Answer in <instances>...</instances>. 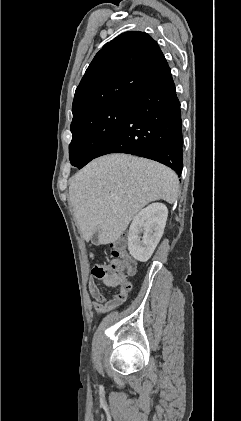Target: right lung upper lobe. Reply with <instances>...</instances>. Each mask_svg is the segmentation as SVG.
<instances>
[{
	"label": "right lung upper lobe",
	"instance_id": "obj_1",
	"mask_svg": "<svg viewBox=\"0 0 241 421\" xmlns=\"http://www.w3.org/2000/svg\"><path fill=\"white\" fill-rule=\"evenodd\" d=\"M167 61L148 34L128 31L95 55L75 91L73 121L96 109L130 98L154 78Z\"/></svg>",
	"mask_w": 241,
	"mask_h": 421
}]
</instances>
